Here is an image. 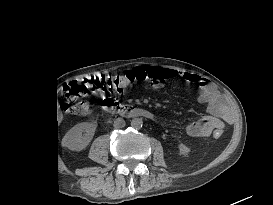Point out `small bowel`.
I'll list each match as a JSON object with an SVG mask.
<instances>
[{"label": "small bowel", "mask_w": 273, "mask_h": 205, "mask_svg": "<svg viewBox=\"0 0 273 205\" xmlns=\"http://www.w3.org/2000/svg\"><path fill=\"white\" fill-rule=\"evenodd\" d=\"M154 74L166 80L183 78L197 83L200 88V98L207 105L208 116L193 120L184 125V130L193 137H207L215 130H222L225 124L231 123L233 114L227 102L216 86L208 79L190 72H180L175 69L160 67L148 68V75ZM153 88L163 86L161 82H151ZM111 100V99H108Z\"/></svg>", "instance_id": "c3829d8e"}]
</instances>
